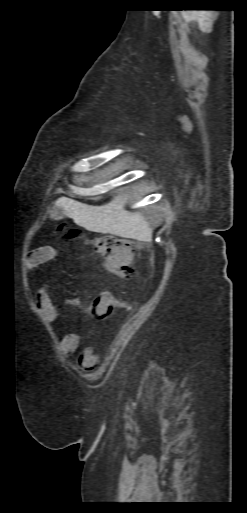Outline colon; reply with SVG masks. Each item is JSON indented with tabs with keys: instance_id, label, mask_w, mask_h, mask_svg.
Listing matches in <instances>:
<instances>
[{
	"instance_id": "colon-1",
	"label": "colon",
	"mask_w": 247,
	"mask_h": 513,
	"mask_svg": "<svg viewBox=\"0 0 247 513\" xmlns=\"http://www.w3.org/2000/svg\"><path fill=\"white\" fill-rule=\"evenodd\" d=\"M62 236L71 239L79 233L78 230L61 226ZM97 251L103 256L106 269L121 277H129L134 273L135 249L132 241L116 236H104L95 242ZM122 306V302L116 299L110 292H103L98 300L91 304V313L97 317L99 324L106 322V317L112 313V309Z\"/></svg>"
}]
</instances>
